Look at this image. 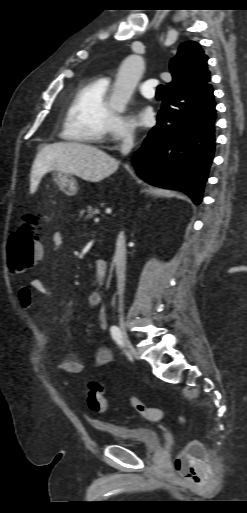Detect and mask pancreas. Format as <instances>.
Listing matches in <instances>:
<instances>
[{"label":"pancreas","mask_w":247,"mask_h":513,"mask_svg":"<svg viewBox=\"0 0 247 513\" xmlns=\"http://www.w3.org/2000/svg\"><path fill=\"white\" fill-rule=\"evenodd\" d=\"M97 213L98 209L93 208L92 206H87L86 210H81L79 218L84 217V219L87 220L92 218Z\"/></svg>","instance_id":"1"}]
</instances>
